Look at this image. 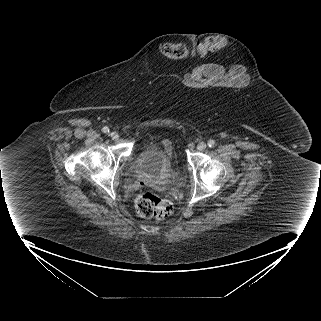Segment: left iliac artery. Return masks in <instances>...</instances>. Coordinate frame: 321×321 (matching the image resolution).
Here are the masks:
<instances>
[{
    "instance_id": "44dca946",
    "label": "left iliac artery",
    "mask_w": 321,
    "mask_h": 321,
    "mask_svg": "<svg viewBox=\"0 0 321 321\" xmlns=\"http://www.w3.org/2000/svg\"><path fill=\"white\" fill-rule=\"evenodd\" d=\"M207 145H208V147H214L215 146V141L214 140H209L208 142H207Z\"/></svg>"
}]
</instances>
